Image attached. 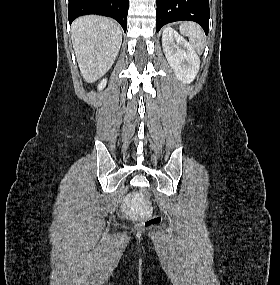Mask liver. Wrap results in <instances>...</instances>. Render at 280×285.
I'll list each match as a JSON object with an SVG mask.
<instances>
[{
    "instance_id": "liver-1",
    "label": "liver",
    "mask_w": 280,
    "mask_h": 285,
    "mask_svg": "<svg viewBox=\"0 0 280 285\" xmlns=\"http://www.w3.org/2000/svg\"><path fill=\"white\" fill-rule=\"evenodd\" d=\"M72 43L81 74L87 83L102 77L113 65L121 43V27L97 15L76 19L71 25Z\"/></svg>"
}]
</instances>
